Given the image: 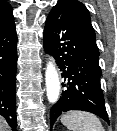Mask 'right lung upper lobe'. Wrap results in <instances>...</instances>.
<instances>
[{
  "label": "right lung upper lobe",
  "mask_w": 117,
  "mask_h": 131,
  "mask_svg": "<svg viewBox=\"0 0 117 131\" xmlns=\"http://www.w3.org/2000/svg\"><path fill=\"white\" fill-rule=\"evenodd\" d=\"M15 26L12 7L6 1H0V35Z\"/></svg>",
  "instance_id": "right-lung-upper-lobe-1"
}]
</instances>
